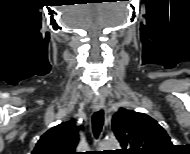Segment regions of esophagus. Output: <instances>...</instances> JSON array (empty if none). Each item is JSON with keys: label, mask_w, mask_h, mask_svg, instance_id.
I'll return each mask as SVG.
<instances>
[{"label": "esophagus", "mask_w": 190, "mask_h": 154, "mask_svg": "<svg viewBox=\"0 0 190 154\" xmlns=\"http://www.w3.org/2000/svg\"><path fill=\"white\" fill-rule=\"evenodd\" d=\"M105 106V99L102 95H98L95 99H94V103H93V108L94 110H100L102 108H104Z\"/></svg>", "instance_id": "1"}]
</instances>
